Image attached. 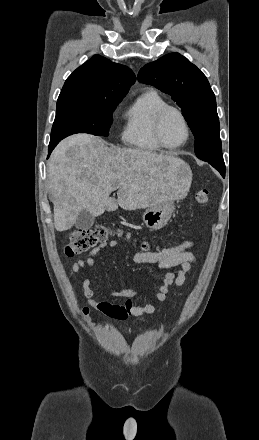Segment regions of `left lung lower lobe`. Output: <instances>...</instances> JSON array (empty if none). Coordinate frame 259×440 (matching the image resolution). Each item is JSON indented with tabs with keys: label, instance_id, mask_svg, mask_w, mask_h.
<instances>
[{
	"label": "left lung lower lobe",
	"instance_id": "obj_1",
	"mask_svg": "<svg viewBox=\"0 0 259 440\" xmlns=\"http://www.w3.org/2000/svg\"><path fill=\"white\" fill-rule=\"evenodd\" d=\"M215 167L221 173V175L224 177L225 176V164H223V166H218L215 164Z\"/></svg>",
	"mask_w": 259,
	"mask_h": 440
}]
</instances>
